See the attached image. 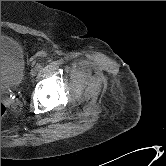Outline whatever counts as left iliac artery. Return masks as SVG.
Segmentation results:
<instances>
[{"label":"left iliac artery","instance_id":"44dca946","mask_svg":"<svg viewBox=\"0 0 166 166\" xmlns=\"http://www.w3.org/2000/svg\"><path fill=\"white\" fill-rule=\"evenodd\" d=\"M35 67H36L37 69H40V68H41V64L37 63V64L35 65Z\"/></svg>","mask_w":166,"mask_h":166}]
</instances>
